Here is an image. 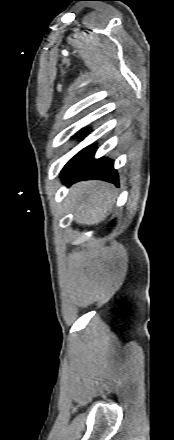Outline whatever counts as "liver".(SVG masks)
Here are the masks:
<instances>
[{"instance_id": "1", "label": "liver", "mask_w": 174, "mask_h": 440, "mask_svg": "<svg viewBox=\"0 0 174 440\" xmlns=\"http://www.w3.org/2000/svg\"><path fill=\"white\" fill-rule=\"evenodd\" d=\"M113 185L92 180L73 185L69 192V208L74 220L82 225H98L112 211L116 200Z\"/></svg>"}]
</instances>
